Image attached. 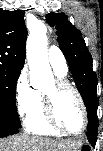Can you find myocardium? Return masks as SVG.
<instances>
[{
  "label": "myocardium",
  "mask_w": 103,
  "mask_h": 151,
  "mask_svg": "<svg viewBox=\"0 0 103 151\" xmlns=\"http://www.w3.org/2000/svg\"><path fill=\"white\" fill-rule=\"evenodd\" d=\"M65 90H69L71 92H73L76 96V98L78 99L81 109H82V113H83V127L81 128V130L79 131H70L68 129H66L65 127H63L59 121L57 120L56 117V94H58L59 92L65 91ZM43 101H44V114H45V119L48 123V125L63 134H67V135H81L83 134L89 124V114H88V110H87V106L86 103L81 95V93L79 92V90L74 87L73 85H71L69 82H67L66 80L63 79H58L54 82V91L52 93H47L44 92L43 94Z\"/></svg>",
  "instance_id": "f54148a6"
}]
</instances>
